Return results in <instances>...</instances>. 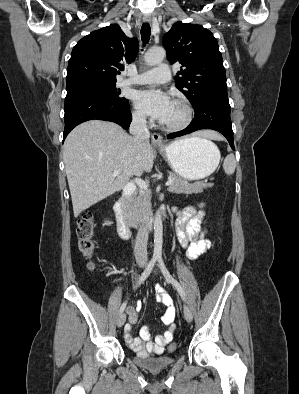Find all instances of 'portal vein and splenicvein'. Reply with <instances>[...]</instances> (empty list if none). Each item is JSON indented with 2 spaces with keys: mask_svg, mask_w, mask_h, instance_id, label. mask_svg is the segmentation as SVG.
I'll return each mask as SVG.
<instances>
[{
  "mask_svg": "<svg viewBox=\"0 0 299 394\" xmlns=\"http://www.w3.org/2000/svg\"><path fill=\"white\" fill-rule=\"evenodd\" d=\"M120 174V171L119 170H113V176L115 177V176H118ZM135 182H136V184L141 188V189H143V190H148V184L145 182V181H143V180H141V179H139V178H136L135 179ZM173 183V180L172 179H170V180H168L166 183H165V185L166 186H170L171 184Z\"/></svg>",
  "mask_w": 299,
  "mask_h": 394,
  "instance_id": "obj_1",
  "label": "portal vein and splenic vein"
}]
</instances>
